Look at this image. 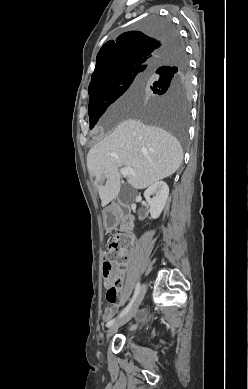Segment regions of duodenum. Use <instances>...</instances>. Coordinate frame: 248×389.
<instances>
[{
  "label": "duodenum",
  "mask_w": 248,
  "mask_h": 389,
  "mask_svg": "<svg viewBox=\"0 0 248 389\" xmlns=\"http://www.w3.org/2000/svg\"><path fill=\"white\" fill-rule=\"evenodd\" d=\"M107 213H112L114 215V218L112 220H107L105 218V215ZM104 222L106 223L108 230H113L118 221H121L122 228L127 231L131 232L133 230L134 226V216L130 213L125 212L122 205L119 203H115L112 207H110L105 213H104Z\"/></svg>",
  "instance_id": "duodenum-1"
}]
</instances>
